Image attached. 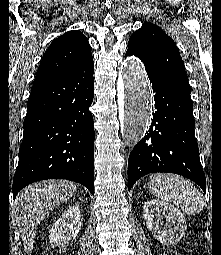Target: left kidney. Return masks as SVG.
Returning <instances> with one entry per match:
<instances>
[{
  "label": "left kidney",
  "instance_id": "left-kidney-1",
  "mask_svg": "<svg viewBox=\"0 0 221 255\" xmlns=\"http://www.w3.org/2000/svg\"><path fill=\"white\" fill-rule=\"evenodd\" d=\"M143 216L153 237L162 244L179 242L187 229L183 214L176 207L160 200L145 202Z\"/></svg>",
  "mask_w": 221,
  "mask_h": 255
}]
</instances>
